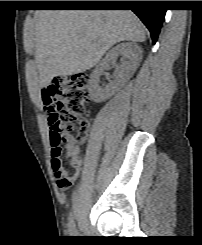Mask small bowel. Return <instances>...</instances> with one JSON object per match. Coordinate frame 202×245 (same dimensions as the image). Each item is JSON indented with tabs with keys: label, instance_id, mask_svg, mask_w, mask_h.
<instances>
[{
	"label": "small bowel",
	"instance_id": "small-bowel-1",
	"mask_svg": "<svg viewBox=\"0 0 202 245\" xmlns=\"http://www.w3.org/2000/svg\"><path fill=\"white\" fill-rule=\"evenodd\" d=\"M40 96L48 114L51 115L54 112L57 97L55 86L49 85L43 87ZM64 152L69 156H73V172L71 173L66 169L63 159ZM50 157L51 168L56 180L57 188L61 191L68 190L79 177L82 168V161L79 156V148L76 139L70 136L60 147H51Z\"/></svg>",
	"mask_w": 202,
	"mask_h": 245
}]
</instances>
